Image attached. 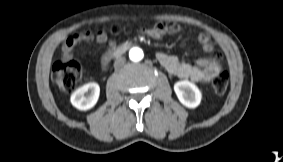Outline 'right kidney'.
I'll return each instance as SVG.
<instances>
[{
    "mask_svg": "<svg viewBox=\"0 0 283 162\" xmlns=\"http://www.w3.org/2000/svg\"><path fill=\"white\" fill-rule=\"evenodd\" d=\"M100 94V87L95 82L87 83L78 88L71 95V103L79 110H89L97 103Z\"/></svg>",
    "mask_w": 283,
    "mask_h": 162,
    "instance_id": "right-kidney-1",
    "label": "right kidney"
}]
</instances>
